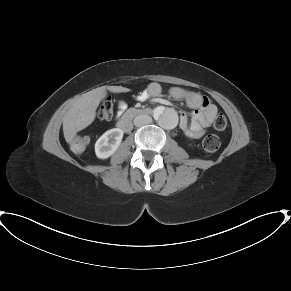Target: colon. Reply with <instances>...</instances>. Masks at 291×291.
Wrapping results in <instances>:
<instances>
[{
  "mask_svg": "<svg viewBox=\"0 0 291 291\" xmlns=\"http://www.w3.org/2000/svg\"><path fill=\"white\" fill-rule=\"evenodd\" d=\"M113 115V101L110 97H106L99 106L98 118L102 121L111 119ZM227 126V119L225 115L219 113L214 120V127L217 130H223ZM221 141L218 136L209 134L203 139V147L207 152H215L219 149ZM75 150L81 152L85 148V144L82 141L74 143Z\"/></svg>",
  "mask_w": 291,
  "mask_h": 291,
  "instance_id": "colon-1",
  "label": "colon"
}]
</instances>
